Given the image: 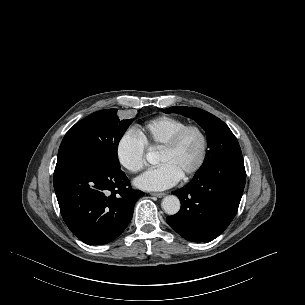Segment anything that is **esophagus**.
Returning <instances> with one entry per match:
<instances>
[{
	"mask_svg": "<svg viewBox=\"0 0 305 305\" xmlns=\"http://www.w3.org/2000/svg\"><path fill=\"white\" fill-rule=\"evenodd\" d=\"M150 195L158 198H162L166 195V193H150Z\"/></svg>",
	"mask_w": 305,
	"mask_h": 305,
	"instance_id": "obj_1",
	"label": "esophagus"
}]
</instances>
